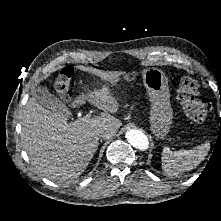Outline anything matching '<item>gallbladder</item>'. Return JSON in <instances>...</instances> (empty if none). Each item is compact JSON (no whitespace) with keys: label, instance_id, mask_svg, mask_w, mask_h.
<instances>
[{"label":"gallbladder","instance_id":"1","mask_svg":"<svg viewBox=\"0 0 221 221\" xmlns=\"http://www.w3.org/2000/svg\"><path fill=\"white\" fill-rule=\"evenodd\" d=\"M32 94L37 102L42 106L64 116H70V111L68 110L66 105L59 98L51 94L46 87L37 86L36 88H34Z\"/></svg>","mask_w":221,"mask_h":221}]
</instances>
